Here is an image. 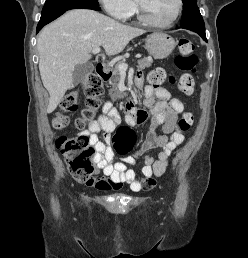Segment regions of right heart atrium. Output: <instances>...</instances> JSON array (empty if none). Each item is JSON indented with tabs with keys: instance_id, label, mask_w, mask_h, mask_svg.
Returning <instances> with one entry per match:
<instances>
[{
	"instance_id": "right-heart-atrium-1",
	"label": "right heart atrium",
	"mask_w": 248,
	"mask_h": 258,
	"mask_svg": "<svg viewBox=\"0 0 248 258\" xmlns=\"http://www.w3.org/2000/svg\"><path fill=\"white\" fill-rule=\"evenodd\" d=\"M105 11L113 18L126 19L133 11L131 0H98Z\"/></svg>"
}]
</instances>
